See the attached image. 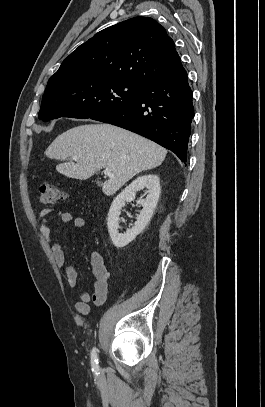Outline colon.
Returning <instances> with one entry per match:
<instances>
[{"mask_svg": "<svg viewBox=\"0 0 265 407\" xmlns=\"http://www.w3.org/2000/svg\"><path fill=\"white\" fill-rule=\"evenodd\" d=\"M68 195L53 184H42L38 189V199L42 205H50Z\"/></svg>", "mask_w": 265, "mask_h": 407, "instance_id": "1", "label": "colon"}]
</instances>
